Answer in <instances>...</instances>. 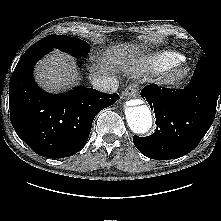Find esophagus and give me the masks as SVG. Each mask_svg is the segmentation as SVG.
I'll return each instance as SVG.
<instances>
[{"label": "esophagus", "mask_w": 221, "mask_h": 221, "mask_svg": "<svg viewBox=\"0 0 221 221\" xmlns=\"http://www.w3.org/2000/svg\"><path fill=\"white\" fill-rule=\"evenodd\" d=\"M138 90V85L131 84L122 92V95L126 97H136Z\"/></svg>", "instance_id": "1"}]
</instances>
